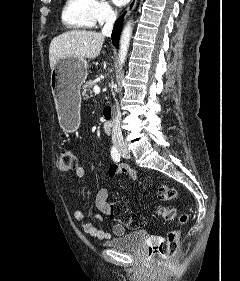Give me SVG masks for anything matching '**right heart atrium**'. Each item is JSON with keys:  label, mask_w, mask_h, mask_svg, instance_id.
Masks as SVG:
<instances>
[{"label": "right heart atrium", "mask_w": 240, "mask_h": 281, "mask_svg": "<svg viewBox=\"0 0 240 281\" xmlns=\"http://www.w3.org/2000/svg\"><path fill=\"white\" fill-rule=\"evenodd\" d=\"M94 16L98 23H104L115 17L116 11L107 0H94Z\"/></svg>", "instance_id": "right-heart-atrium-1"}]
</instances>
